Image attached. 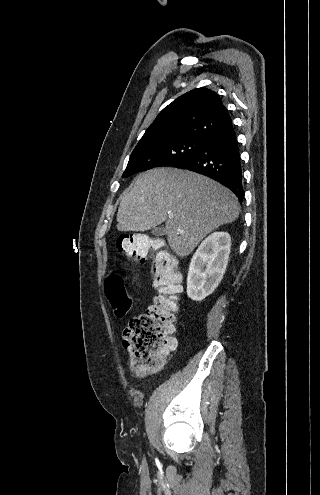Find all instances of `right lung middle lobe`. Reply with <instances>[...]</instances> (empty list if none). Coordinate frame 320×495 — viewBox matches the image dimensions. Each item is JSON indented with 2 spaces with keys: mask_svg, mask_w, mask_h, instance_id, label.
Returning a JSON list of instances; mask_svg holds the SVG:
<instances>
[{
  "mask_svg": "<svg viewBox=\"0 0 320 495\" xmlns=\"http://www.w3.org/2000/svg\"><path fill=\"white\" fill-rule=\"evenodd\" d=\"M204 138H185L150 146H136L122 177L154 167L174 166L191 158L204 143Z\"/></svg>",
  "mask_w": 320,
  "mask_h": 495,
  "instance_id": "obj_1",
  "label": "right lung middle lobe"
}]
</instances>
